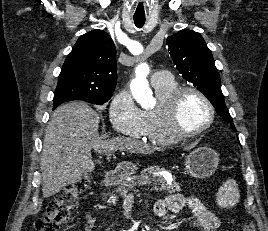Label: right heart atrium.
I'll use <instances>...</instances> for the list:
<instances>
[{
    "instance_id": "obj_1",
    "label": "right heart atrium",
    "mask_w": 268,
    "mask_h": 231,
    "mask_svg": "<svg viewBox=\"0 0 268 231\" xmlns=\"http://www.w3.org/2000/svg\"><path fill=\"white\" fill-rule=\"evenodd\" d=\"M108 113L111 125L118 133L135 139L144 138L141 109L127 89H121L113 96Z\"/></svg>"
}]
</instances>
